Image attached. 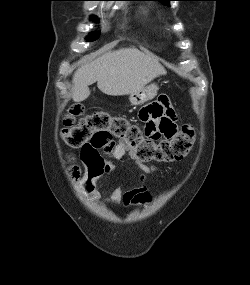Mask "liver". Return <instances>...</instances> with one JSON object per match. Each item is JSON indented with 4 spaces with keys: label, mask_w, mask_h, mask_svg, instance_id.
I'll return each instance as SVG.
<instances>
[{
    "label": "liver",
    "mask_w": 250,
    "mask_h": 285,
    "mask_svg": "<svg viewBox=\"0 0 250 285\" xmlns=\"http://www.w3.org/2000/svg\"><path fill=\"white\" fill-rule=\"evenodd\" d=\"M165 73L157 59L134 47L109 51L75 71L72 99L77 103L87 99L89 85L95 82L104 94L128 95Z\"/></svg>",
    "instance_id": "obj_1"
}]
</instances>
